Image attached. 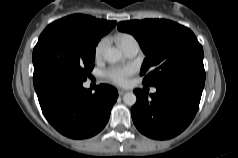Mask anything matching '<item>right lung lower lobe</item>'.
I'll use <instances>...</instances> for the list:
<instances>
[{
	"label": "right lung lower lobe",
	"mask_w": 238,
	"mask_h": 158,
	"mask_svg": "<svg viewBox=\"0 0 238 158\" xmlns=\"http://www.w3.org/2000/svg\"><path fill=\"white\" fill-rule=\"evenodd\" d=\"M33 83L47 120L73 139L99 133L118 97L117 90L110 85L101 84L92 93L83 87V81L52 69L35 72Z\"/></svg>",
	"instance_id": "1"
}]
</instances>
